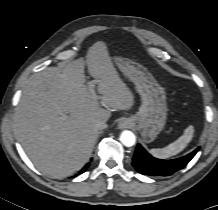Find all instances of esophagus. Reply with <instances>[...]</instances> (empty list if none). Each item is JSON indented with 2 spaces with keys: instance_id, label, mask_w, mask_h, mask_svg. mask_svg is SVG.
Instances as JSON below:
<instances>
[{
  "instance_id": "34e87169",
  "label": "esophagus",
  "mask_w": 218,
  "mask_h": 210,
  "mask_svg": "<svg viewBox=\"0 0 218 210\" xmlns=\"http://www.w3.org/2000/svg\"><path fill=\"white\" fill-rule=\"evenodd\" d=\"M130 120L127 119V118H122L120 121H119V124H118V127L120 129H124V128H128L130 126Z\"/></svg>"
}]
</instances>
